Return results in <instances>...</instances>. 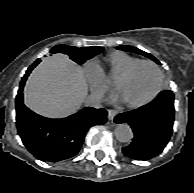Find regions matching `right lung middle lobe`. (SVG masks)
Instances as JSON below:
<instances>
[{
  "mask_svg": "<svg viewBox=\"0 0 194 193\" xmlns=\"http://www.w3.org/2000/svg\"><path fill=\"white\" fill-rule=\"evenodd\" d=\"M103 49V47L77 48L67 45H57L51 49V53L67 54L73 61L78 64H82L86 60L102 52Z\"/></svg>",
  "mask_w": 194,
  "mask_h": 193,
  "instance_id": "obj_1",
  "label": "right lung middle lobe"
}]
</instances>
